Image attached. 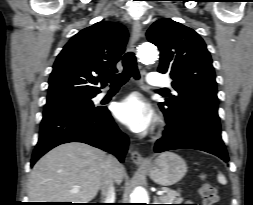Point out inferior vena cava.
Segmentation results:
<instances>
[{
    "label": "inferior vena cava",
    "mask_w": 253,
    "mask_h": 205,
    "mask_svg": "<svg viewBox=\"0 0 253 205\" xmlns=\"http://www.w3.org/2000/svg\"><path fill=\"white\" fill-rule=\"evenodd\" d=\"M112 161L113 159L109 157L104 174H103V178H102V185H101L102 203H114L115 201Z\"/></svg>",
    "instance_id": "602c4592"
}]
</instances>
